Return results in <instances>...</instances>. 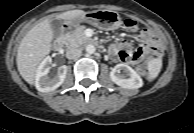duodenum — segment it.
I'll return each mask as SVG.
<instances>
[{
	"label": "duodenum",
	"mask_w": 194,
	"mask_h": 133,
	"mask_svg": "<svg viewBox=\"0 0 194 133\" xmlns=\"http://www.w3.org/2000/svg\"><path fill=\"white\" fill-rule=\"evenodd\" d=\"M77 24L75 23H66L63 25L62 30H61V34L60 36H58L54 41H53V48L55 50H59L63 47L64 45V36L67 32H69L74 26H76ZM92 44H95L97 46H99L100 44L94 41H90Z\"/></svg>",
	"instance_id": "duodenum-1"
}]
</instances>
